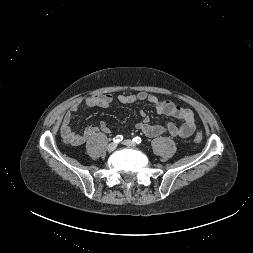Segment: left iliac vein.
Masks as SVG:
<instances>
[{"mask_svg": "<svg viewBox=\"0 0 253 253\" xmlns=\"http://www.w3.org/2000/svg\"><path fill=\"white\" fill-rule=\"evenodd\" d=\"M123 144L125 146H128V147H134V146H136V144L132 140H130V139L124 140Z\"/></svg>", "mask_w": 253, "mask_h": 253, "instance_id": "4c4485c4", "label": "left iliac vein"}]
</instances>
